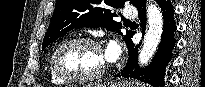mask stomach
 <instances>
[{"mask_svg":"<svg viewBox=\"0 0 205 87\" xmlns=\"http://www.w3.org/2000/svg\"><path fill=\"white\" fill-rule=\"evenodd\" d=\"M85 87H139V84L129 81H120L112 84H91Z\"/></svg>","mask_w":205,"mask_h":87,"instance_id":"1","label":"stomach"}]
</instances>
